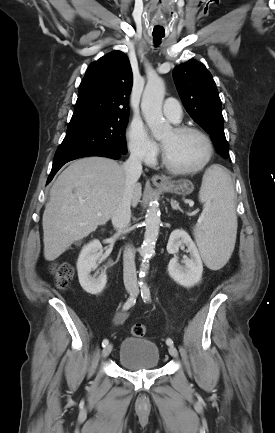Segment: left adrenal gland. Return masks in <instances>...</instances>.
Returning a JSON list of instances; mask_svg holds the SVG:
<instances>
[{"mask_svg": "<svg viewBox=\"0 0 275 433\" xmlns=\"http://www.w3.org/2000/svg\"><path fill=\"white\" fill-rule=\"evenodd\" d=\"M171 207L173 210H181V208L179 207V203H177L175 200L171 199Z\"/></svg>", "mask_w": 275, "mask_h": 433, "instance_id": "left-adrenal-gland-1", "label": "left adrenal gland"}]
</instances>
